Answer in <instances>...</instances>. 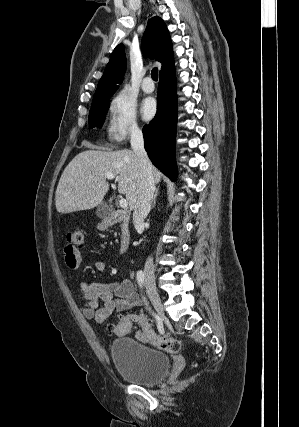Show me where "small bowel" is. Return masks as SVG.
I'll return each instance as SVG.
<instances>
[{"label": "small bowel", "mask_w": 299, "mask_h": 427, "mask_svg": "<svg viewBox=\"0 0 299 427\" xmlns=\"http://www.w3.org/2000/svg\"><path fill=\"white\" fill-rule=\"evenodd\" d=\"M81 254L64 251V264L70 271H76L81 264ZM100 272L107 270V262L103 259L95 264ZM77 297L84 302L82 314L86 319H94L97 323H104L114 311H125L142 305V298L135 291L133 283L128 279L109 283H90L82 281L79 285ZM151 326V324H150ZM137 339L152 342L144 336L142 330L137 331Z\"/></svg>", "instance_id": "small-bowel-1"}]
</instances>
